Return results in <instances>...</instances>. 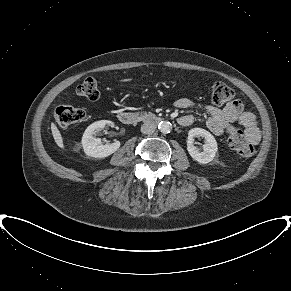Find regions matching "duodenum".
<instances>
[{
    "mask_svg": "<svg viewBox=\"0 0 291 291\" xmlns=\"http://www.w3.org/2000/svg\"><path fill=\"white\" fill-rule=\"evenodd\" d=\"M117 117L121 123L126 125L132 124L138 120H143L150 123H158L160 121V118L153 114L138 115L128 111L120 112Z\"/></svg>",
    "mask_w": 291,
    "mask_h": 291,
    "instance_id": "1",
    "label": "duodenum"
}]
</instances>
